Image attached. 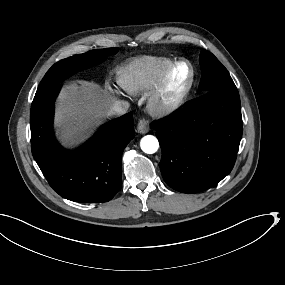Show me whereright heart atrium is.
<instances>
[{"label": "right heart atrium", "instance_id": "d8ad5b80", "mask_svg": "<svg viewBox=\"0 0 285 285\" xmlns=\"http://www.w3.org/2000/svg\"><path fill=\"white\" fill-rule=\"evenodd\" d=\"M108 89L115 98H121L123 96V92L117 87L108 86Z\"/></svg>", "mask_w": 285, "mask_h": 285}]
</instances>
